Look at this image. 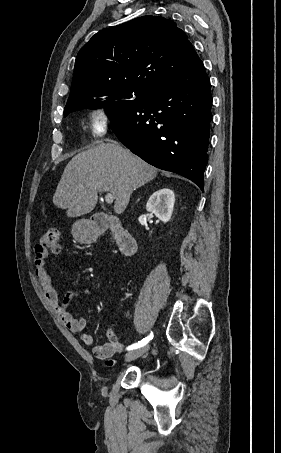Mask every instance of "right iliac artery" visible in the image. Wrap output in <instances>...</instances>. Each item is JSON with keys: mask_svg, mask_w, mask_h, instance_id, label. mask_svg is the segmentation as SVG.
<instances>
[{"mask_svg": "<svg viewBox=\"0 0 281 453\" xmlns=\"http://www.w3.org/2000/svg\"><path fill=\"white\" fill-rule=\"evenodd\" d=\"M152 339H153V332H151L150 335L147 336L146 338H143L141 341H138V343L132 344L131 346L127 347V350H133V349L143 347Z\"/></svg>", "mask_w": 281, "mask_h": 453, "instance_id": "right-iliac-artery-1", "label": "right iliac artery"}]
</instances>
